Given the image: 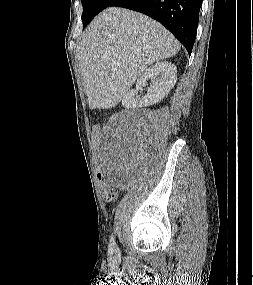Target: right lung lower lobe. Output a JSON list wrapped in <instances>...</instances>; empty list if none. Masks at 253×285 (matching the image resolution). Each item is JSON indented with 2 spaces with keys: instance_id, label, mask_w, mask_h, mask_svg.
Masks as SVG:
<instances>
[{
  "instance_id": "98d812e1",
  "label": "right lung lower lobe",
  "mask_w": 253,
  "mask_h": 285,
  "mask_svg": "<svg viewBox=\"0 0 253 285\" xmlns=\"http://www.w3.org/2000/svg\"><path fill=\"white\" fill-rule=\"evenodd\" d=\"M201 4L202 0H115L110 6L135 10L159 21L185 46L190 55Z\"/></svg>"
}]
</instances>
